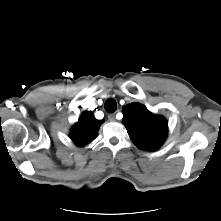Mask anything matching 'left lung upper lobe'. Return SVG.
Here are the masks:
<instances>
[{
    "mask_svg": "<svg viewBox=\"0 0 221 221\" xmlns=\"http://www.w3.org/2000/svg\"><path fill=\"white\" fill-rule=\"evenodd\" d=\"M123 124L131 140L144 150H156L167 137V121L152 114L139 103L128 104L123 107Z\"/></svg>",
    "mask_w": 221,
    "mask_h": 221,
    "instance_id": "left-lung-upper-lobe-1",
    "label": "left lung upper lobe"
}]
</instances>
